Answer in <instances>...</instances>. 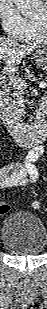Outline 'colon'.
Masks as SVG:
<instances>
[{
	"label": "colon",
	"mask_w": 47,
	"mask_h": 309,
	"mask_svg": "<svg viewBox=\"0 0 47 309\" xmlns=\"http://www.w3.org/2000/svg\"><path fill=\"white\" fill-rule=\"evenodd\" d=\"M31 206L34 210H39V211L42 210L41 204L37 201H34ZM9 211H10L9 205L7 204L0 205V214H7Z\"/></svg>",
	"instance_id": "colon-1"
}]
</instances>
